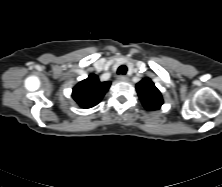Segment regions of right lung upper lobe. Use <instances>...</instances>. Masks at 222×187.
<instances>
[{
	"label": "right lung upper lobe",
	"mask_w": 222,
	"mask_h": 187,
	"mask_svg": "<svg viewBox=\"0 0 222 187\" xmlns=\"http://www.w3.org/2000/svg\"><path fill=\"white\" fill-rule=\"evenodd\" d=\"M110 84L100 82L97 75L91 74L73 88L72 97L82 108H91L101 101Z\"/></svg>",
	"instance_id": "cb5924a9"
}]
</instances>
